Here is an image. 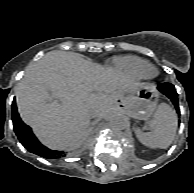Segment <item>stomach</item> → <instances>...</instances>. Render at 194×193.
Listing matches in <instances>:
<instances>
[{"instance_id":"0dacf381","label":"stomach","mask_w":194,"mask_h":193,"mask_svg":"<svg viewBox=\"0 0 194 193\" xmlns=\"http://www.w3.org/2000/svg\"><path fill=\"white\" fill-rule=\"evenodd\" d=\"M157 93L153 85H144L136 92L130 93L120 101L121 110L128 116L145 120L156 109Z\"/></svg>"}]
</instances>
